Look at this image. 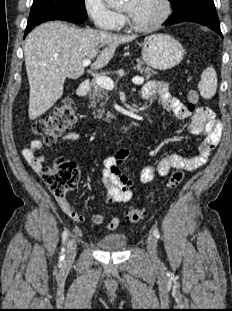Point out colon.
<instances>
[{
    "mask_svg": "<svg viewBox=\"0 0 232 311\" xmlns=\"http://www.w3.org/2000/svg\"><path fill=\"white\" fill-rule=\"evenodd\" d=\"M200 100L197 91L192 90L187 96V109L194 111ZM75 107L71 99L61 100L52 113L44 118L33 122L31 130L34 134L40 136L46 143H54L57 138L68 130L75 123ZM44 180L48 188L59 196H64L77 183L79 173L76 167L62 160H57L53 165L43 167ZM184 178L182 170L174 171L169 179V189H175ZM146 215L142 209H130L125 213V219L128 223H138Z\"/></svg>",
    "mask_w": 232,
    "mask_h": 311,
    "instance_id": "5ec220e1",
    "label": "colon"
}]
</instances>
